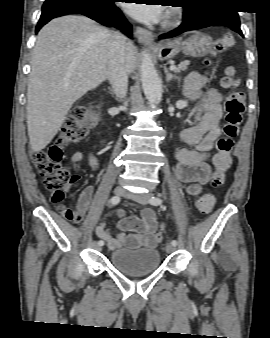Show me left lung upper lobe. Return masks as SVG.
<instances>
[{
	"mask_svg": "<svg viewBox=\"0 0 270 338\" xmlns=\"http://www.w3.org/2000/svg\"><path fill=\"white\" fill-rule=\"evenodd\" d=\"M229 0H184L185 19L191 20L211 9L227 4Z\"/></svg>",
	"mask_w": 270,
	"mask_h": 338,
	"instance_id": "obj_1",
	"label": "left lung upper lobe"
}]
</instances>
